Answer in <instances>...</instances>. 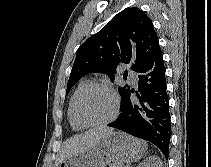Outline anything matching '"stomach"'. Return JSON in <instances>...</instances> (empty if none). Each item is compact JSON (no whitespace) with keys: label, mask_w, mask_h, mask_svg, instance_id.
Listing matches in <instances>:
<instances>
[{"label":"stomach","mask_w":211,"mask_h":167,"mask_svg":"<svg viewBox=\"0 0 211 167\" xmlns=\"http://www.w3.org/2000/svg\"><path fill=\"white\" fill-rule=\"evenodd\" d=\"M146 152V143L122 132H112L87 151L62 161L57 167H105L135 162Z\"/></svg>","instance_id":"0dacf381"}]
</instances>
